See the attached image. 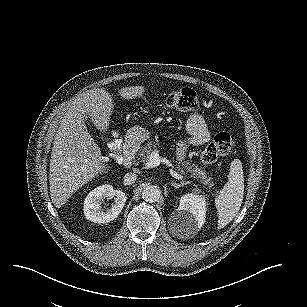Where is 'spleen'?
Wrapping results in <instances>:
<instances>
[{
	"mask_svg": "<svg viewBox=\"0 0 307 307\" xmlns=\"http://www.w3.org/2000/svg\"><path fill=\"white\" fill-rule=\"evenodd\" d=\"M244 196V177L242 163L234 159L230 165L228 181L216 196V208L218 210V228L225 227L238 213Z\"/></svg>",
	"mask_w": 307,
	"mask_h": 307,
	"instance_id": "1",
	"label": "spleen"
}]
</instances>
